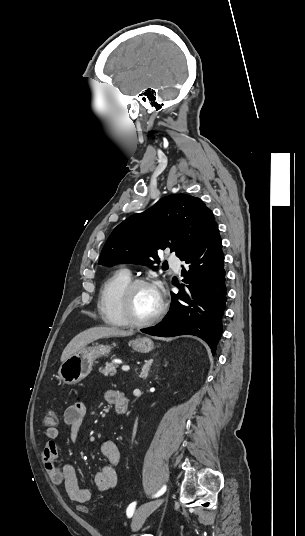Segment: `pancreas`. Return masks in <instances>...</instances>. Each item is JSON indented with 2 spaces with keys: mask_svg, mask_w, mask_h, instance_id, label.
Wrapping results in <instances>:
<instances>
[{
  "mask_svg": "<svg viewBox=\"0 0 305 536\" xmlns=\"http://www.w3.org/2000/svg\"><path fill=\"white\" fill-rule=\"evenodd\" d=\"M116 368H118V364H115V362H111V364L106 362L105 368H99V372L104 374V376H114L117 372Z\"/></svg>",
  "mask_w": 305,
  "mask_h": 536,
  "instance_id": "pancreas-1",
  "label": "pancreas"
}]
</instances>
